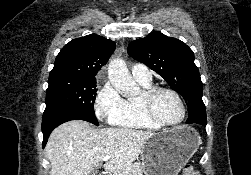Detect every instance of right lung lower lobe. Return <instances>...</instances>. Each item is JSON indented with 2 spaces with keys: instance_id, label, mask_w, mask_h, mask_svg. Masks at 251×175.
I'll use <instances>...</instances> for the list:
<instances>
[{
  "instance_id": "obj_1",
  "label": "right lung lower lobe",
  "mask_w": 251,
  "mask_h": 175,
  "mask_svg": "<svg viewBox=\"0 0 251 175\" xmlns=\"http://www.w3.org/2000/svg\"><path fill=\"white\" fill-rule=\"evenodd\" d=\"M70 120H84L95 125L98 121L94 114L73 109H50L45 110L42 119L43 147L45 146L50 133L58 125Z\"/></svg>"
}]
</instances>
